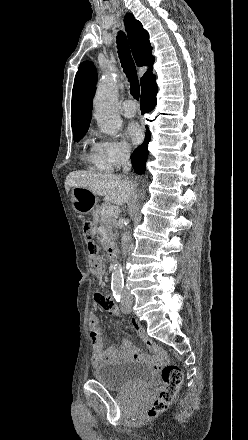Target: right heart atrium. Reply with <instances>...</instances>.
<instances>
[{
  "label": "right heart atrium",
  "mask_w": 248,
  "mask_h": 440,
  "mask_svg": "<svg viewBox=\"0 0 248 440\" xmlns=\"http://www.w3.org/2000/svg\"><path fill=\"white\" fill-rule=\"evenodd\" d=\"M99 164L111 171L121 166L130 156L128 144L121 139L104 137L95 144Z\"/></svg>",
  "instance_id": "1"
}]
</instances>
